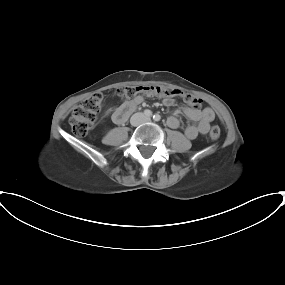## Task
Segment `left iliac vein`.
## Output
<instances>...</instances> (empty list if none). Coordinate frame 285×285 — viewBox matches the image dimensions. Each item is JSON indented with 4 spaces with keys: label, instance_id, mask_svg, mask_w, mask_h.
<instances>
[{
    "label": "left iliac vein",
    "instance_id": "left-iliac-vein-1",
    "mask_svg": "<svg viewBox=\"0 0 285 285\" xmlns=\"http://www.w3.org/2000/svg\"><path fill=\"white\" fill-rule=\"evenodd\" d=\"M145 120H146V121H149V119H148V118H146Z\"/></svg>",
    "mask_w": 285,
    "mask_h": 285
}]
</instances>
